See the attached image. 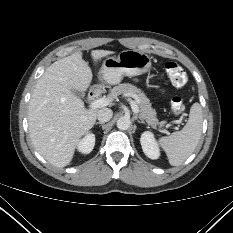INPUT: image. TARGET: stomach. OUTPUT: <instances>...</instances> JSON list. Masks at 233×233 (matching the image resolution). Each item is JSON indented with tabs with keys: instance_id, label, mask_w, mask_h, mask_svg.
<instances>
[{
	"instance_id": "0dacf381",
	"label": "stomach",
	"mask_w": 233,
	"mask_h": 233,
	"mask_svg": "<svg viewBox=\"0 0 233 233\" xmlns=\"http://www.w3.org/2000/svg\"><path fill=\"white\" fill-rule=\"evenodd\" d=\"M150 68L151 59L147 54L136 50H125L117 57H109L103 61L99 78L115 85L121 82L123 76H138L146 73Z\"/></svg>"
}]
</instances>
